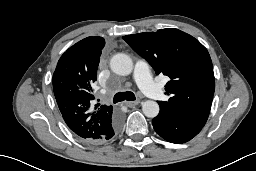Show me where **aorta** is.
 Here are the masks:
<instances>
[{
    "instance_id": "762f6f07",
    "label": "aorta",
    "mask_w": 256,
    "mask_h": 171,
    "mask_svg": "<svg viewBox=\"0 0 256 171\" xmlns=\"http://www.w3.org/2000/svg\"><path fill=\"white\" fill-rule=\"evenodd\" d=\"M111 70L121 76H126L131 74L133 70L132 59L123 53H118L112 57L110 60ZM159 105L157 102L152 100H147L142 105V111L146 117L154 118L159 113Z\"/></svg>"
}]
</instances>
